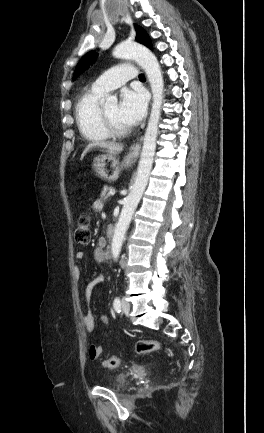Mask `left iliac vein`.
<instances>
[{
  "label": "left iliac vein",
  "instance_id": "left-iliac-vein-1",
  "mask_svg": "<svg viewBox=\"0 0 264 433\" xmlns=\"http://www.w3.org/2000/svg\"><path fill=\"white\" fill-rule=\"evenodd\" d=\"M122 311L125 314H128L130 311V304L124 297L122 298Z\"/></svg>",
  "mask_w": 264,
  "mask_h": 433
}]
</instances>
